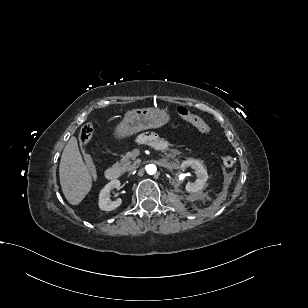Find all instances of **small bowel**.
Returning <instances> with one entry per match:
<instances>
[{
    "mask_svg": "<svg viewBox=\"0 0 308 308\" xmlns=\"http://www.w3.org/2000/svg\"><path fill=\"white\" fill-rule=\"evenodd\" d=\"M138 140L142 144L150 145L152 147L157 148L156 144L161 142L165 146V142L158 137L154 132H144L138 136Z\"/></svg>",
    "mask_w": 308,
    "mask_h": 308,
    "instance_id": "obj_1",
    "label": "small bowel"
}]
</instances>
